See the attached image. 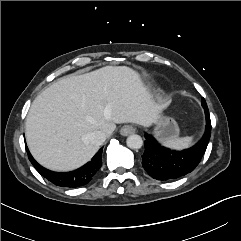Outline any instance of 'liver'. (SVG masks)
<instances>
[{"label": "liver", "instance_id": "6515ba94", "mask_svg": "<svg viewBox=\"0 0 241 241\" xmlns=\"http://www.w3.org/2000/svg\"><path fill=\"white\" fill-rule=\"evenodd\" d=\"M156 104L139 74L126 66H107L59 79L33 101L26 118V141L35 160L54 171H71L98 151L88 135H112L116 124H155Z\"/></svg>", "mask_w": 241, "mask_h": 241}]
</instances>
